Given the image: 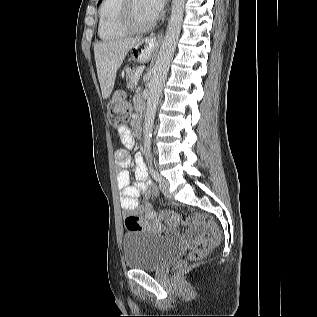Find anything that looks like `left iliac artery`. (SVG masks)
Here are the masks:
<instances>
[{
  "label": "left iliac artery",
  "mask_w": 317,
  "mask_h": 317,
  "mask_svg": "<svg viewBox=\"0 0 317 317\" xmlns=\"http://www.w3.org/2000/svg\"><path fill=\"white\" fill-rule=\"evenodd\" d=\"M150 173H151L152 177L154 178V180H156L158 182H160L162 180V177L154 168H150Z\"/></svg>",
  "instance_id": "44dca946"
}]
</instances>
